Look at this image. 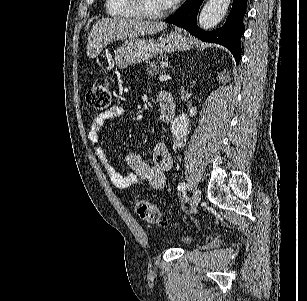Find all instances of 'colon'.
I'll return each mask as SVG.
<instances>
[{
  "instance_id": "5ec220e1",
  "label": "colon",
  "mask_w": 307,
  "mask_h": 301,
  "mask_svg": "<svg viewBox=\"0 0 307 301\" xmlns=\"http://www.w3.org/2000/svg\"><path fill=\"white\" fill-rule=\"evenodd\" d=\"M86 101L95 110L103 111L109 107L111 95L109 85L105 79H96L89 86L86 93ZM133 208L142 220L152 225L163 226L166 224V220L161 215L159 209L149 201L136 199Z\"/></svg>"
}]
</instances>
